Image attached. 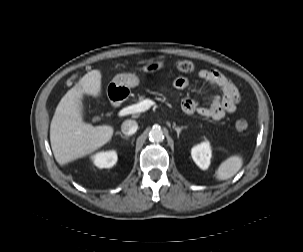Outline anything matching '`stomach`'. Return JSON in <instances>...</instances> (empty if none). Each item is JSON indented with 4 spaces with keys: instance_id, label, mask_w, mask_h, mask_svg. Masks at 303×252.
Listing matches in <instances>:
<instances>
[{
    "instance_id": "stomach-1",
    "label": "stomach",
    "mask_w": 303,
    "mask_h": 252,
    "mask_svg": "<svg viewBox=\"0 0 303 252\" xmlns=\"http://www.w3.org/2000/svg\"><path fill=\"white\" fill-rule=\"evenodd\" d=\"M165 62L162 60H150L143 67L142 70L146 73H152L164 68ZM139 78L135 74L124 73L118 74L114 77L111 84H113L117 88H134L139 85Z\"/></svg>"
}]
</instances>
